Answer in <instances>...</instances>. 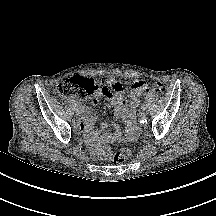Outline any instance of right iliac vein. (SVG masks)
Returning a JSON list of instances; mask_svg holds the SVG:
<instances>
[{
	"mask_svg": "<svg viewBox=\"0 0 216 216\" xmlns=\"http://www.w3.org/2000/svg\"><path fill=\"white\" fill-rule=\"evenodd\" d=\"M76 118H80L81 117V115H82V108H77L76 109Z\"/></svg>",
	"mask_w": 216,
	"mask_h": 216,
	"instance_id": "1",
	"label": "right iliac vein"
}]
</instances>
